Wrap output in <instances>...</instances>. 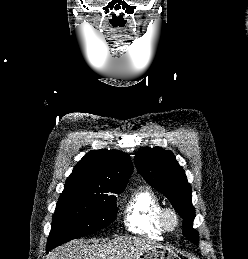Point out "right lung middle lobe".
Masks as SVG:
<instances>
[{
    "label": "right lung middle lobe",
    "mask_w": 248,
    "mask_h": 259,
    "mask_svg": "<svg viewBox=\"0 0 248 259\" xmlns=\"http://www.w3.org/2000/svg\"><path fill=\"white\" fill-rule=\"evenodd\" d=\"M124 189H64L53 215L48 245L56 247L107 227L117 215L116 197Z\"/></svg>",
    "instance_id": "obj_1"
}]
</instances>
